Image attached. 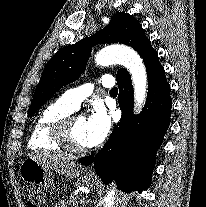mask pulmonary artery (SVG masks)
Here are the masks:
<instances>
[{
    "label": "pulmonary artery",
    "mask_w": 206,
    "mask_h": 207,
    "mask_svg": "<svg viewBox=\"0 0 206 207\" xmlns=\"http://www.w3.org/2000/svg\"><path fill=\"white\" fill-rule=\"evenodd\" d=\"M99 82L105 87H112L114 85V78L112 75L106 74L101 77ZM93 90L94 84L88 83L80 87L67 90L63 94L62 98L70 108L76 110L79 108L81 102L92 94Z\"/></svg>",
    "instance_id": "e3ab8cb5"
}]
</instances>
